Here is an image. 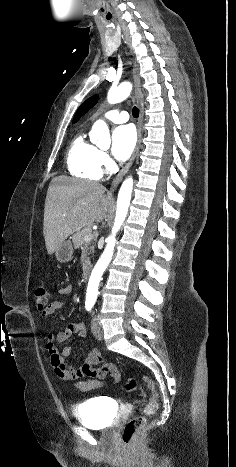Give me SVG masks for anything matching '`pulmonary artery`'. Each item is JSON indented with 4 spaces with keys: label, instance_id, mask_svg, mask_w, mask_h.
Returning <instances> with one entry per match:
<instances>
[{
    "label": "pulmonary artery",
    "instance_id": "pulmonary-artery-1",
    "mask_svg": "<svg viewBox=\"0 0 236 467\" xmlns=\"http://www.w3.org/2000/svg\"><path fill=\"white\" fill-rule=\"evenodd\" d=\"M103 117L114 123H124L129 119L126 111L117 109L108 110L103 114Z\"/></svg>",
    "mask_w": 236,
    "mask_h": 467
}]
</instances>
